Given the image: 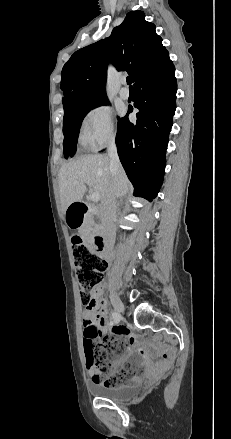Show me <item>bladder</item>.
Listing matches in <instances>:
<instances>
[{
    "mask_svg": "<svg viewBox=\"0 0 231 439\" xmlns=\"http://www.w3.org/2000/svg\"><path fill=\"white\" fill-rule=\"evenodd\" d=\"M129 370H132L133 366L129 365L127 367ZM135 372L140 371L139 366L134 367ZM91 393L98 397V398H104L109 399L115 402H121L133 399L137 397L141 391V388L139 386H131V385H119V386H113L108 387L103 384H93L91 387Z\"/></svg>",
    "mask_w": 231,
    "mask_h": 439,
    "instance_id": "1",
    "label": "bladder"
}]
</instances>
